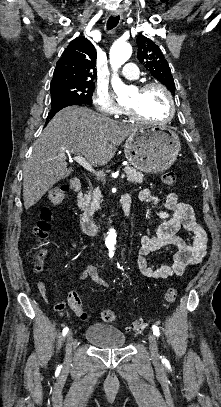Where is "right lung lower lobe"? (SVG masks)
<instances>
[{
  "label": "right lung lower lobe",
  "instance_id": "1",
  "mask_svg": "<svg viewBox=\"0 0 221 407\" xmlns=\"http://www.w3.org/2000/svg\"><path fill=\"white\" fill-rule=\"evenodd\" d=\"M72 105H83V104L79 103V102H75V101H65V102H61V103H58L56 105L51 106V110H50V112L48 114V117H47V122L49 120H51L53 118V116L58 111H60L62 108H65L67 106H72Z\"/></svg>",
  "mask_w": 221,
  "mask_h": 407
}]
</instances>
